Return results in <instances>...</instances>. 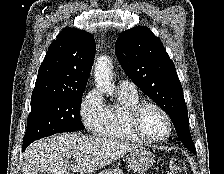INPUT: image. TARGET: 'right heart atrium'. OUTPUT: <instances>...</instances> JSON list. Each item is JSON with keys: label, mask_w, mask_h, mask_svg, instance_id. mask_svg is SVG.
Here are the masks:
<instances>
[{"label": "right heart atrium", "mask_w": 224, "mask_h": 174, "mask_svg": "<svg viewBox=\"0 0 224 174\" xmlns=\"http://www.w3.org/2000/svg\"><path fill=\"white\" fill-rule=\"evenodd\" d=\"M80 117L86 129L98 134L105 117V104L97 89L89 90L80 104Z\"/></svg>", "instance_id": "obj_1"}]
</instances>
